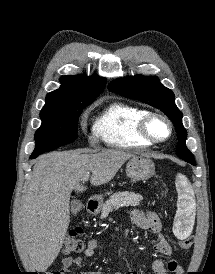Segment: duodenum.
I'll return each mask as SVG.
<instances>
[{"label": "duodenum", "mask_w": 215, "mask_h": 274, "mask_svg": "<svg viewBox=\"0 0 215 274\" xmlns=\"http://www.w3.org/2000/svg\"><path fill=\"white\" fill-rule=\"evenodd\" d=\"M86 208H87L88 213L94 214L98 209L97 200L94 199V198L89 199V201L87 202V207Z\"/></svg>", "instance_id": "410a0bca"}]
</instances>
